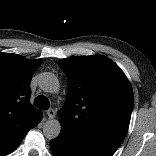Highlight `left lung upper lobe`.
<instances>
[{
  "instance_id": "left-lung-upper-lobe-1",
  "label": "left lung upper lobe",
  "mask_w": 156,
  "mask_h": 156,
  "mask_svg": "<svg viewBox=\"0 0 156 156\" xmlns=\"http://www.w3.org/2000/svg\"><path fill=\"white\" fill-rule=\"evenodd\" d=\"M68 79L61 126L118 148L128 131L134 97L124 72L105 56H81L58 62Z\"/></svg>"
}]
</instances>
